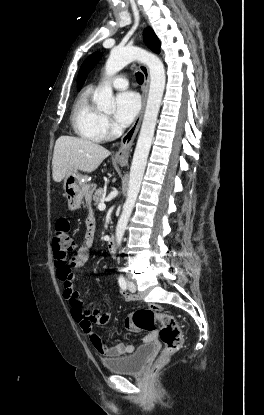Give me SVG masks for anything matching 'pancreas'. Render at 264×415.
Wrapping results in <instances>:
<instances>
[{
  "mask_svg": "<svg viewBox=\"0 0 264 415\" xmlns=\"http://www.w3.org/2000/svg\"><path fill=\"white\" fill-rule=\"evenodd\" d=\"M104 198V191L102 188H99L95 191L93 195V200L95 202V205H99V203L103 202Z\"/></svg>",
  "mask_w": 264,
  "mask_h": 415,
  "instance_id": "cf45deb5",
  "label": "pancreas"
}]
</instances>
